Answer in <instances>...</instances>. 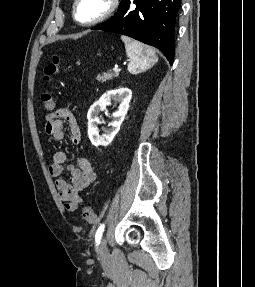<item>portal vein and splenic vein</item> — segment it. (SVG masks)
I'll use <instances>...</instances> for the list:
<instances>
[{
	"label": "portal vein and splenic vein",
	"instance_id": "18ae733b",
	"mask_svg": "<svg viewBox=\"0 0 255 287\" xmlns=\"http://www.w3.org/2000/svg\"><path fill=\"white\" fill-rule=\"evenodd\" d=\"M114 72H121V70H119L118 66H115V68H113Z\"/></svg>",
	"mask_w": 255,
	"mask_h": 287
}]
</instances>
